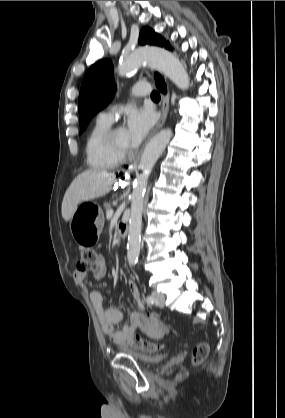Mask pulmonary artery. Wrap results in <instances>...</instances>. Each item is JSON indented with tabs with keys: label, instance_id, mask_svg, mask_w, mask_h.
I'll use <instances>...</instances> for the list:
<instances>
[{
	"label": "pulmonary artery",
	"instance_id": "e3ab8cb5",
	"mask_svg": "<svg viewBox=\"0 0 285 418\" xmlns=\"http://www.w3.org/2000/svg\"><path fill=\"white\" fill-rule=\"evenodd\" d=\"M149 93L150 89L145 83H137L132 91V94L135 97L148 95ZM100 116L109 121L112 119V114L110 112L102 113Z\"/></svg>",
	"mask_w": 285,
	"mask_h": 418
}]
</instances>
